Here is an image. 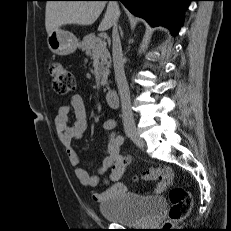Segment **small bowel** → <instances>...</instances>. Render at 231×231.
Segmentation results:
<instances>
[{
	"label": "small bowel",
	"instance_id": "obj_1",
	"mask_svg": "<svg viewBox=\"0 0 231 231\" xmlns=\"http://www.w3.org/2000/svg\"><path fill=\"white\" fill-rule=\"evenodd\" d=\"M73 113L74 119L71 120ZM55 131L60 140L69 163L74 167L75 176L82 185L89 188H96L99 184V175H92L80 165V158L72 146L73 141L82 139L87 129V111L84 99L81 95H73L70 103L62 105L57 111L54 120ZM116 122L109 118L105 120L103 128L108 133L106 144V156L98 168V174L110 171L107 183L109 187L103 192H93L92 199L102 203L106 200L120 197L128 192L126 184L121 182V178L127 166V158L121 153L119 136L114 131ZM160 181L152 189L153 194H161L173 179V172L169 168H160Z\"/></svg>",
	"mask_w": 231,
	"mask_h": 231
}]
</instances>
